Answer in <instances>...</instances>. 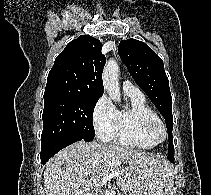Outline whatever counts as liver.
I'll list each match as a JSON object with an SVG mask.
<instances>
[{
	"label": "liver",
	"instance_id": "liver-1",
	"mask_svg": "<svg viewBox=\"0 0 211 195\" xmlns=\"http://www.w3.org/2000/svg\"><path fill=\"white\" fill-rule=\"evenodd\" d=\"M113 172L119 173L113 188L127 195H168L173 185L171 169L159 156L118 145L79 141L46 163L45 195H99L101 187L110 181L103 184V179Z\"/></svg>",
	"mask_w": 211,
	"mask_h": 195
}]
</instances>
